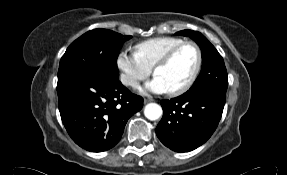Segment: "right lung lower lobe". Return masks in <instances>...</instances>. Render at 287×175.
<instances>
[{
	"mask_svg": "<svg viewBox=\"0 0 287 175\" xmlns=\"http://www.w3.org/2000/svg\"><path fill=\"white\" fill-rule=\"evenodd\" d=\"M62 122L73 141L91 152L114 147L128 119L143 106L142 97L120 81L74 75L57 83Z\"/></svg>",
	"mask_w": 287,
	"mask_h": 175,
	"instance_id": "right-lung-lower-lobe-1",
	"label": "right lung lower lobe"
}]
</instances>
